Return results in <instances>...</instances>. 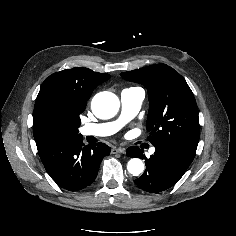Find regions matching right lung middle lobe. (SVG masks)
<instances>
[{
    "label": "right lung middle lobe",
    "instance_id": "1",
    "mask_svg": "<svg viewBox=\"0 0 236 236\" xmlns=\"http://www.w3.org/2000/svg\"><path fill=\"white\" fill-rule=\"evenodd\" d=\"M79 116H66L57 110H44L36 124L35 134L38 139L74 136L79 133Z\"/></svg>",
    "mask_w": 236,
    "mask_h": 236
}]
</instances>
